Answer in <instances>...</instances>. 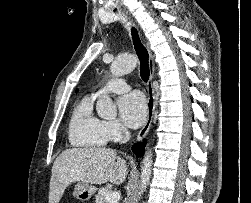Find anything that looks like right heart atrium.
Instances as JSON below:
<instances>
[{
    "label": "right heart atrium",
    "mask_w": 251,
    "mask_h": 203,
    "mask_svg": "<svg viewBox=\"0 0 251 203\" xmlns=\"http://www.w3.org/2000/svg\"><path fill=\"white\" fill-rule=\"evenodd\" d=\"M103 129L107 140L114 141L125 132L124 127L118 121H103Z\"/></svg>",
    "instance_id": "1"
}]
</instances>
